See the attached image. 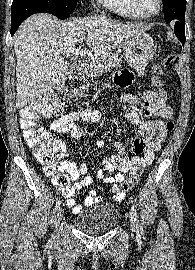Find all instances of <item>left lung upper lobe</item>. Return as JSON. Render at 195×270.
I'll list each match as a JSON object with an SVG mask.
<instances>
[{
	"label": "left lung upper lobe",
	"instance_id": "1",
	"mask_svg": "<svg viewBox=\"0 0 195 270\" xmlns=\"http://www.w3.org/2000/svg\"><path fill=\"white\" fill-rule=\"evenodd\" d=\"M164 19L167 23L185 20L186 0H162Z\"/></svg>",
	"mask_w": 195,
	"mask_h": 270
}]
</instances>
